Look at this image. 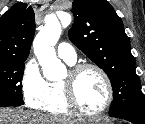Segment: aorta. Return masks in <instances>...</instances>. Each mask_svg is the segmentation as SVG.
Wrapping results in <instances>:
<instances>
[{
	"mask_svg": "<svg viewBox=\"0 0 145 124\" xmlns=\"http://www.w3.org/2000/svg\"><path fill=\"white\" fill-rule=\"evenodd\" d=\"M62 32L61 24L55 15L45 18V25L33 41L34 53L42 67L44 77L49 81L61 80L66 75L63 63L57 58L54 49Z\"/></svg>",
	"mask_w": 145,
	"mask_h": 124,
	"instance_id": "1",
	"label": "aorta"
}]
</instances>
